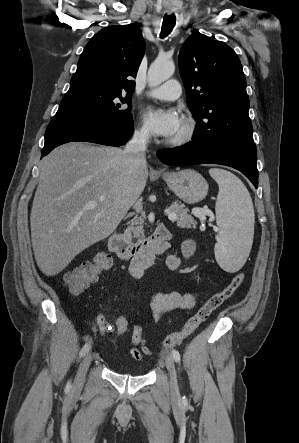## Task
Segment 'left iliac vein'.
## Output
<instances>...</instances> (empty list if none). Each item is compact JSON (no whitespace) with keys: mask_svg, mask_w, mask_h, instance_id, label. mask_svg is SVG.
Returning <instances> with one entry per match:
<instances>
[{"mask_svg":"<svg viewBox=\"0 0 299 443\" xmlns=\"http://www.w3.org/2000/svg\"><path fill=\"white\" fill-rule=\"evenodd\" d=\"M166 367L168 369L169 375H170V388L171 393L173 396L179 395V387H178V381H177V374L174 364V359L171 355H168L165 360Z\"/></svg>","mask_w":299,"mask_h":443,"instance_id":"4c4485c4","label":"left iliac vein"}]
</instances>
